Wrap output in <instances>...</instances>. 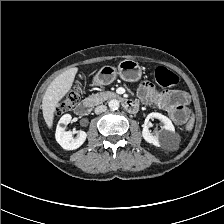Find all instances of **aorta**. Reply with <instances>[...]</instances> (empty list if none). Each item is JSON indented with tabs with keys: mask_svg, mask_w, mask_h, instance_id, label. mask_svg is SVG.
<instances>
[{
	"mask_svg": "<svg viewBox=\"0 0 224 224\" xmlns=\"http://www.w3.org/2000/svg\"><path fill=\"white\" fill-rule=\"evenodd\" d=\"M108 106L111 110H117L119 108V101L112 99L109 101Z\"/></svg>",
	"mask_w": 224,
	"mask_h": 224,
	"instance_id": "aorta-1",
	"label": "aorta"
}]
</instances>
